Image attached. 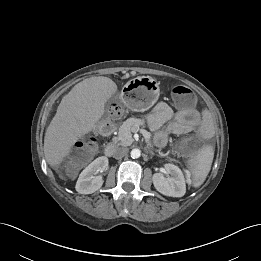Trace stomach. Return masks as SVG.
<instances>
[{
	"label": "stomach",
	"instance_id": "obj_1",
	"mask_svg": "<svg viewBox=\"0 0 261 261\" xmlns=\"http://www.w3.org/2000/svg\"><path fill=\"white\" fill-rule=\"evenodd\" d=\"M158 97V83L150 77H137L128 81L121 92L123 105L135 112L148 110Z\"/></svg>",
	"mask_w": 261,
	"mask_h": 261
}]
</instances>
